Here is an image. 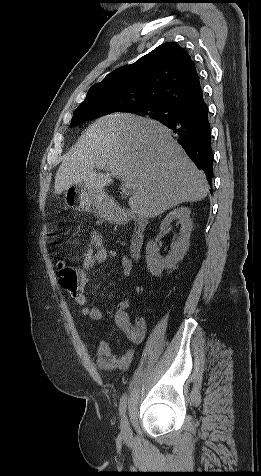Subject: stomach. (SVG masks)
<instances>
[{
	"label": "stomach",
	"mask_w": 261,
	"mask_h": 476,
	"mask_svg": "<svg viewBox=\"0 0 261 476\" xmlns=\"http://www.w3.org/2000/svg\"><path fill=\"white\" fill-rule=\"evenodd\" d=\"M65 201L74 210L91 212L107 220L116 218L113 200L104 191L86 184H75L65 190Z\"/></svg>",
	"instance_id": "stomach-1"
}]
</instances>
